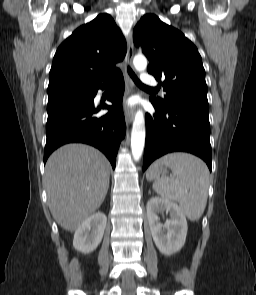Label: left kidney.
<instances>
[{
  "instance_id": "1",
  "label": "left kidney",
  "mask_w": 256,
  "mask_h": 295,
  "mask_svg": "<svg viewBox=\"0 0 256 295\" xmlns=\"http://www.w3.org/2000/svg\"><path fill=\"white\" fill-rule=\"evenodd\" d=\"M146 208L151 235L159 251L170 256L181 250L188 230L182 209L175 202L157 196L150 198ZM163 212L170 214L165 224L158 217Z\"/></svg>"
}]
</instances>
